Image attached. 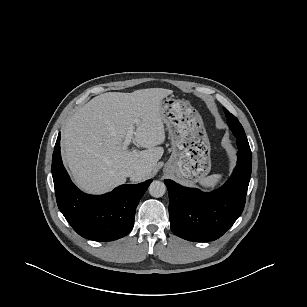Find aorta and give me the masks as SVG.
Instances as JSON below:
<instances>
[{"mask_svg":"<svg viewBox=\"0 0 307 307\" xmlns=\"http://www.w3.org/2000/svg\"><path fill=\"white\" fill-rule=\"evenodd\" d=\"M149 193L155 198L162 197L166 192V186L161 181H153L149 186Z\"/></svg>","mask_w":307,"mask_h":307,"instance_id":"aorta-1","label":"aorta"}]
</instances>
